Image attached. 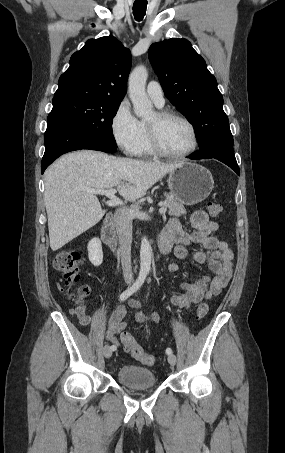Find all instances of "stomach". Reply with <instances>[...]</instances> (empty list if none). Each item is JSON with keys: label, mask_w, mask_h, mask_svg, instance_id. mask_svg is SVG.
Listing matches in <instances>:
<instances>
[{"label": "stomach", "mask_w": 285, "mask_h": 453, "mask_svg": "<svg viewBox=\"0 0 285 453\" xmlns=\"http://www.w3.org/2000/svg\"><path fill=\"white\" fill-rule=\"evenodd\" d=\"M168 187L179 203L192 206L204 201L210 195L214 180L211 172L205 167L183 162L169 172Z\"/></svg>", "instance_id": "obj_1"}]
</instances>
